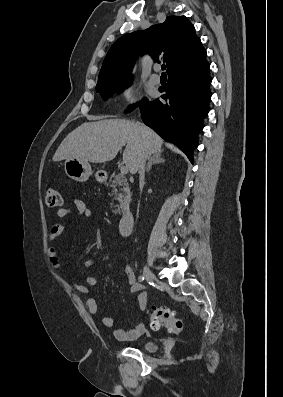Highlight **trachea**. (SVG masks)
<instances>
[{
    "mask_svg": "<svg viewBox=\"0 0 283 397\" xmlns=\"http://www.w3.org/2000/svg\"><path fill=\"white\" fill-rule=\"evenodd\" d=\"M161 69H162V70H165V69H166V65H165V64H163V65L161 66ZM162 75H166V73H165V72H163V73H162Z\"/></svg>",
    "mask_w": 283,
    "mask_h": 397,
    "instance_id": "1",
    "label": "trachea"
}]
</instances>
